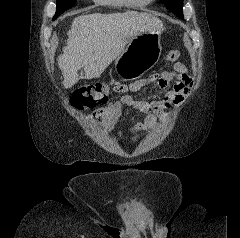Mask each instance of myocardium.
I'll list each match as a JSON object with an SVG mask.
<instances>
[{"label": "myocardium", "instance_id": "myocardium-1", "mask_svg": "<svg viewBox=\"0 0 240 238\" xmlns=\"http://www.w3.org/2000/svg\"><path fill=\"white\" fill-rule=\"evenodd\" d=\"M155 0H141L143 5H147ZM124 2L129 6H134L136 4L135 0H124Z\"/></svg>", "mask_w": 240, "mask_h": 238}]
</instances>
